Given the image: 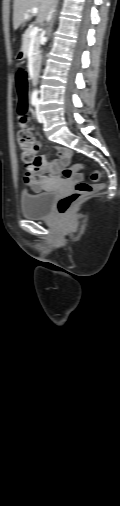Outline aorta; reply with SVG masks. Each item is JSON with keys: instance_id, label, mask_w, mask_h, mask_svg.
Here are the masks:
<instances>
[{"instance_id": "aorta-1", "label": "aorta", "mask_w": 120, "mask_h": 506, "mask_svg": "<svg viewBox=\"0 0 120 506\" xmlns=\"http://www.w3.org/2000/svg\"><path fill=\"white\" fill-rule=\"evenodd\" d=\"M37 93H38V91H37V90H35V91L33 92V94H35V95H37Z\"/></svg>"}]
</instances>
